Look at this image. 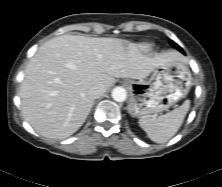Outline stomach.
I'll return each mask as SVG.
<instances>
[{
    "label": "stomach",
    "mask_w": 222,
    "mask_h": 187,
    "mask_svg": "<svg viewBox=\"0 0 222 187\" xmlns=\"http://www.w3.org/2000/svg\"><path fill=\"white\" fill-rule=\"evenodd\" d=\"M130 100L127 110L141 118L168 110L185 98L192 86V76L182 60L170 61L152 71L145 80L128 81Z\"/></svg>",
    "instance_id": "0dacf381"
}]
</instances>
